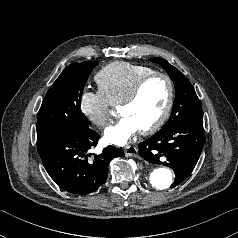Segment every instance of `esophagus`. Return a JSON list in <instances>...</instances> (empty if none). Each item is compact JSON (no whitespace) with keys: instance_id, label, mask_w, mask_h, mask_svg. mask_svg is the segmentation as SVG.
<instances>
[{"instance_id":"34e87169","label":"esophagus","mask_w":238,"mask_h":238,"mask_svg":"<svg viewBox=\"0 0 238 238\" xmlns=\"http://www.w3.org/2000/svg\"><path fill=\"white\" fill-rule=\"evenodd\" d=\"M124 152L127 156H130V157H136L138 154V150L135 146H127L124 149Z\"/></svg>"}]
</instances>
